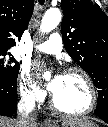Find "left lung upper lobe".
I'll return each mask as SVG.
<instances>
[{"mask_svg":"<svg viewBox=\"0 0 108 127\" xmlns=\"http://www.w3.org/2000/svg\"><path fill=\"white\" fill-rule=\"evenodd\" d=\"M61 6L65 49L99 89L97 105L108 106V17L90 0H62Z\"/></svg>","mask_w":108,"mask_h":127,"instance_id":"left-lung-upper-lobe-1","label":"left lung upper lobe"}]
</instances>
